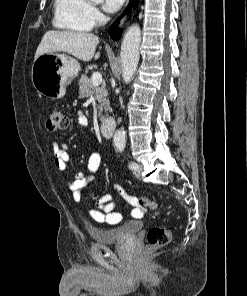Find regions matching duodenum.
<instances>
[{
  "mask_svg": "<svg viewBox=\"0 0 247 296\" xmlns=\"http://www.w3.org/2000/svg\"><path fill=\"white\" fill-rule=\"evenodd\" d=\"M115 122L111 117L104 118L100 121V130L104 137L110 138L114 134Z\"/></svg>",
  "mask_w": 247,
  "mask_h": 296,
  "instance_id": "obj_1",
  "label": "duodenum"
}]
</instances>
